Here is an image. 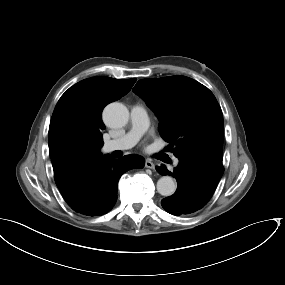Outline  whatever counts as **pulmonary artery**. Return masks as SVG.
<instances>
[{
  "mask_svg": "<svg viewBox=\"0 0 285 285\" xmlns=\"http://www.w3.org/2000/svg\"><path fill=\"white\" fill-rule=\"evenodd\" d=\"M131 129L118 138L104 142L103 152L123 151L132 148L148 128V117L142 104H135L130 112Z\"/></svg>",
  "mask_w": 285,
  "mask_h": 285,
  "instance_id": "1",
  "label": "pulmonary artery"
}]
</instances>
